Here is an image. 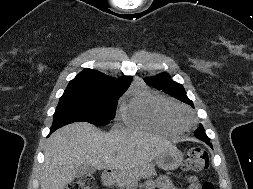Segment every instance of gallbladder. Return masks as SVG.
Instances as JSON below:
<instances>
[{
	"label": "gallbladder",
	"instance_id": "obj_1",
	"mask_svg": "<svg viewBox=\"0 0 253 189\" xmlns=\"http://www.w3.org/2000/svg\"><path fill=\"white\" fill-rule=\"evenodd\" d=\"M95 172V169L88 165H80L76 169V177H82L85 175H90Z\"/></svg>",
	"mask_w": 253,
	"mask_h": 189
}]
</instances>
